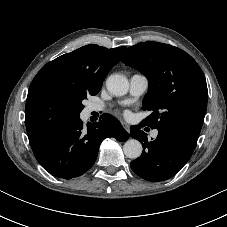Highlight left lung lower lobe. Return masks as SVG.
Instances as JSON below:
<instances>
[{
  "label": "left lung lower lobe",
  "mask_w": 227,
  "mask_h": 227,
  "mask_svg": "<svg viewBox=\"0 0 227 227\" xmlns=\"http://www.w3.org/2000/svg\"><path fill=\"white\" fill-rule=\"evenodd\" d=\"M140 126H132L130 132L143 146L142 155L130 163L132 170L151 182L173 177L190 159L197 140L170 128H158L157 138L149 141Z\"/></svg>",
  "instance_id": "obj_1"
}]
</instances>
